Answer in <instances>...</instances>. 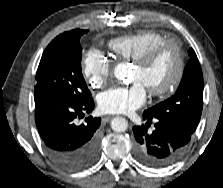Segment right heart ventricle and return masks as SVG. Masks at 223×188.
I'll return each mask as SVG.
<instances>
[{"instance_id": "right-heart-ventricle-1", "label": "right heart ventricle", "mask_w": 223, "mask_h": 188, "mask_svg": "<svg viewBox=\"0 0 223 188\" xmlns=\"http://www.w3.org/2000/svg\"><path fill=\"white\" fill-rule=\"evenodd\" d=\"M164 40L165 37L159 32L142 30L111 39L108 42V48L119 58L134 61Z\"/></svg>"}]
</instances>
